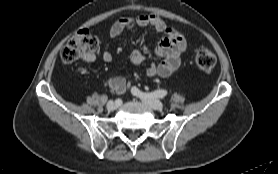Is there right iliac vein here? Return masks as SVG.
<instances>
[{
    "label": "right iliac vein",
    "mask_w": 278,
    "mask_h": 174,
    "mask_svg": "<svg viewBox=\"0 0 278 174\" xmlns=\"http://www.w3.org/2000/svg\"><path fill=\"white\" fill-rule=\"evenodd\" d=\"M118 108V104L117 103H115V102H113V101H109L108 103H107V109L109 110V111H114L115 109H117Z\"/></svg>",
    "instance_id": "obj_1"
}]
</instances>
